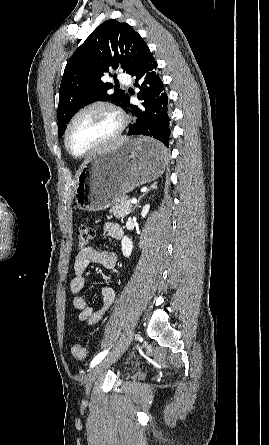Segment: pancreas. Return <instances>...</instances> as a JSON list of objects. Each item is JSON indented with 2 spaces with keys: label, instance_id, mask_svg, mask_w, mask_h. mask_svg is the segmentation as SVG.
<instances>
[{
  "label": "pancreas",
  "instance_id": "obj_1",
  "mask_svg": "<svg viewBox=\"0 0 269 445\" xmlns=\"http://www.w3.org/2000/svg\"><path fill=\"white\" fill-rule=\"evenodd\" d=\"M133 205L127 196L120 198L110 209V213L117 218H124L132 212Z\"/></svg>",
  "mask_w": 269,
  "mask_h": 445
}]
</instances>
